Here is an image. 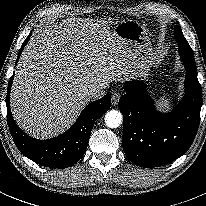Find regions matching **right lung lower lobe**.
Wrapping results in <instances>:
<instances>
[{
    "label": "right lung lower lobe",
    "mask_w": 206,
    "mask_h": 206,
    "mask_svg": "<svg viewBox=\"0 0 206 206\" xmlns=\"http://www.w3.org/2000/svg\"><path fill=\"white\" fill-rule=\"evenodd\" d=\"M30 37L31 33L22 44L17 61ZM13 77L14 74L7 88V122L13 140L20 152L35 163L49 168H67L74 165L86 151L96 119L109 110L111 95L106 94L103 98L90 103L81 112L70 129L63 134L47 140H37L23 132L12 117L9 97Z\"/></svg>",
    "instance_id": "obj_1"
}]
</instances>
